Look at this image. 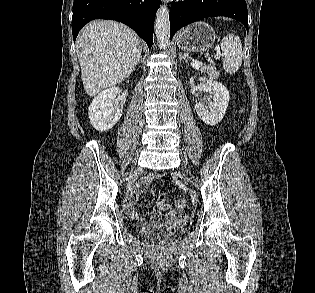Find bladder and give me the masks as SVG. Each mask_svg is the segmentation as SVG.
I'll return each instance as SVG.
<instances>
[{
  "label": "bladder",
  "instance_id": "1",
  "mask_svg": "<svg viewBox=\"0 0 315 293\" xmlns=\"http://www.w3.org/2000/svg\"><path fill=\"white\" fill-rule=\"evenodd\" d=\"M136 229L141 235L153 240L168 239L174 234V231L170 228L153 226L145 223L138 224Z\"/></svg>",
  "mask_w": 315,
  "mask_h": 293
}]
</instances>
